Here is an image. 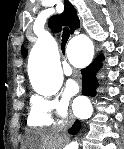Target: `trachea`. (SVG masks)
I'll return each instance as SVG.
<instances>
[{"mask_svg":"<svg viewBox=\"0 0 124 149\" xmlns=\"http://www.w3.org/2000/svg\"><path fill=\"white\" fill-rule=\"evenodd\" d=\"M69 36H70V32H69V29L68 28H64V32H63V35H62V43H66L67 40L69 39Z\"/></svg>","mask_w":124,"mask_h":149,"instance_id":"3493384b","label":"trachea"}]
</instances>
